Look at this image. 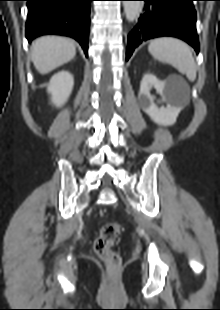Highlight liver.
<instances>
[{
	"label": "liver",
	"instance_id": "obj_1",
	"mask_svg": "<svg viewBox=\"0 0 220 310\" xmlns=\"http://www.w3.org/2000/svg\"><path fill=\"white\" fill-rule=\"evenodd\" d=\"M31 52L36 70L40 74H47L71 61L76 55V48L70 39L44 36L32 43Z\"/></svg>",
	"mask_w": 220,
	"mask_h": 310
}]
</instances>
